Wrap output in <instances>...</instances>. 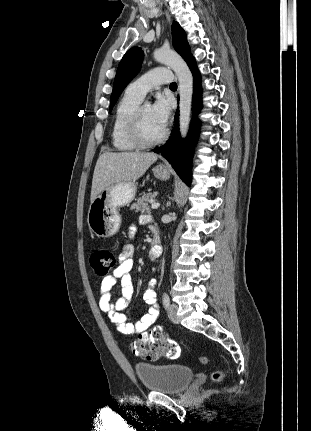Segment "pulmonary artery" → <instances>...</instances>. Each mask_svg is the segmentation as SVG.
<instances>
[{
	"label": "pulmonary artery",
	"instance_id": "e3ab8cb5",
	"mask_svg": "<svg viewBox=\"0 0 311 431\" xmlns=\"http://www.w3.org/2000/svg\"><path fill=\"white\" fill-rule=\"evenodd\" d=\"M173 75L170 71L163 67H157L149 70L144 75L132 82L127 90L141 98L145 94L163 84H168L172 81Z\"/></svg>",
	"mask_w": 311,
	"mask_h": 431
}]
</instances>
